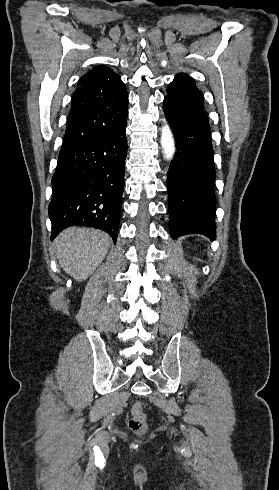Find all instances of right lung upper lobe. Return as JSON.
Segmentation results:
<instances>
[{
    "label": "right lung upper lobe",
    "instance_id": "cb5924a9",
    "mask_svg": "<svg viewBox=\"0 0 279 490\" xmlns=\"http://www.w3.org/2000/svg\"><path fill=\"white\" fill-rule=\"evenodd\" d=\"M61 150L100 138L127 122L128 95L120 76L105 66L80 78Z\"/></svg>",
    "mask_w": 279,
    "mask_h": 490
}]
</instances>
